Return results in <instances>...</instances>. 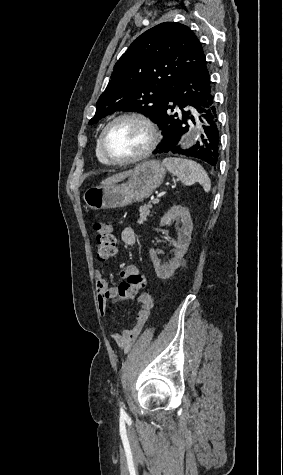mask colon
<instances>
[{
  "label": "colon",
  "mask_w": 283,
  "mask_h": 475,
  "mask_svg": "<svg viewBox=\"0 0 283 475\" xmlns=\"http://www.w3.org/2000/svg\"><path fill=\"white\" fill-rule=\"evenodd\" d=\"M93 228L95 230L96 258L99 262H105L117 252L113 228L108 222L102 221L93 222ZM146 283L147 280H142L140 274L131 273L128 276V283L121 282L116 288L117 293H119L120 302L126 303L132 300L133 296L140 292V288H145L144 284Z\"/></svg>",
  "instance_id": "colon-1"
}]
</instances>
